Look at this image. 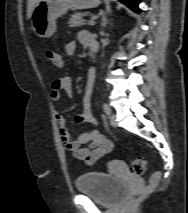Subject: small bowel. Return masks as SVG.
I'll return each instance as SVG.
<instances>
[{"mask_svg":"<svg viewBox=\"0 0 188 213\" xmlns=\"http://www.w3.org/2000/svg\"><path fill=\"white\" fill-rule=\"evenodd\" d=\"M93 38L87 32H81L79 41L83 45L89 46L90 39ZM76 42L70 41L65 45V53L68 56L74 55L76 51ZM55 66L61 67L63 65L62 57L59 55V61L50 60ZM95 73L94 68L88 70L89 83L92 82L89 74ZM61 91H64L68 96L73 94V82L68 76L56 79L51 86L50 98L54 102L61 99ZM55 119L59 124L61 141L67 151H69L74 158L83 161L89 165L94 164L104 155L112 152L114 144L104 134L96 129L81 133L77 138L71 139L66 127L65 117L62 112H55ZM76 123H87L96 125L97 120L91 111V100L89 94L84 98L83 111L75 116Z\"/></svg>","mask_w":188,"mask_h":213,"instance_id":"obj_1","label":"small bowel"}]
</instances>
